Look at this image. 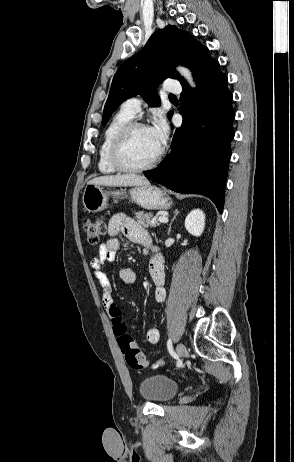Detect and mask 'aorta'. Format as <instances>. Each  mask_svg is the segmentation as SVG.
<instances>
[{
    "instance_id": "aorta-1",
    "label": "aorta",
    "mask_w": 294,
    "mask_h": 462,
    "mask_svg": "<svg viewBox=\"0 0 294 462\" xmlns=\"http://www.w3.org/2000/svg\"><path fill=\"white\" fill-rule=\"evenodd\" d=\"M178 72L188 81V83L192 86V87H195V83L193 81V78H192V74L191 72L185 68V67H182V66H179L177 68Z\"/></svg>"
}]
</instances>
